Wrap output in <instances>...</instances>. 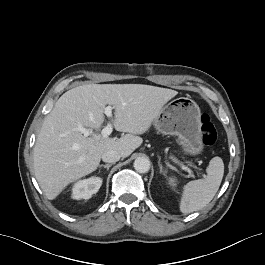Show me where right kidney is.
<instances>
[{"label":"right kidney","instance_id":"ca27d5eb","mask_svg":"<svg viewBox=\"0 0 265 265\" xmlns=\"http://www.w3.org/2000/svg\"><path fill=\"white\" fill-rule=\"evenodd\" d=\"M102 185L100 177H90L76 182L72 188V198L76 200L89 199L97 193Z\"/></svg>","mask_w":265,"mask_h":265}]
</instances>
